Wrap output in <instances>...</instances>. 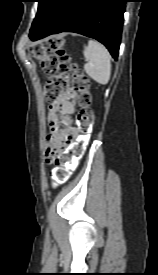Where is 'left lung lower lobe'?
Wrapping results in <instances>:
<instances>
[{"instance_id": "0a47b994", "label": "left lung lower lobe", "mask_w": 158, "mask_h": 275, "mask_svg": "<svg viewBox=\"0 0 158 275\" xmlns=\"http://www.w3.org/2000/svg\"><path fill=\"white\" fill-rule=\"evenodd\" d=\"M127 0H58L32 41L60 32H75L104 44L117 59Z\"/></svg>"}]
</instances>
